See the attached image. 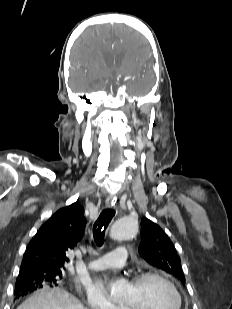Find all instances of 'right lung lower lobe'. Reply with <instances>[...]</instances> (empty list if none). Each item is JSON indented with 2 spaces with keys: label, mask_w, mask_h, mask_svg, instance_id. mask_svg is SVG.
I'll return each mask as SVG.
<instances>
[{
  "label": "right lung lower lobe",
  "mask_w": 232,
  "mask_h": 309,
  "mask_svg": "<svg viewBox=\"0 0 232 309\" xmlns=\"http://www.w3.org/2000/svg\"><path fill=\"white\" fill-rule=\"evenodd\" d=\"M39 287L40 286L37 283H34V281H31L28 284H23L21 286L15 287L14 294H15L16 298H19L21 296H24V295L36 290Z\"/></svg>",
  "instance_id": "98d812e1"
}]
</instances>
